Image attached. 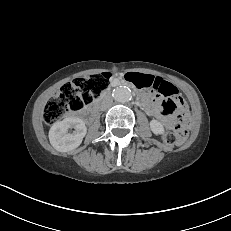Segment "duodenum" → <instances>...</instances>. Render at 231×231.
<instances>
[{"label": "duodenum", "instance_id": "obj_1", "mask_svg": "<svg viewBox=\"0 0 231 231\" xmlns=\"http://www.w3.org/2000/svg\"><path fill=\"white\" fill-rule=\"evenodd\" d=\"M141 97H142V99H143V94H142V93H141ZM143 100H144V99H143ZM98 107H99L98 104L94 105L93 108L90 110V112L96 111V110L98 109Z\"/></svg>", "mask_w": 231, "mask_h": 231}]
</instances>
